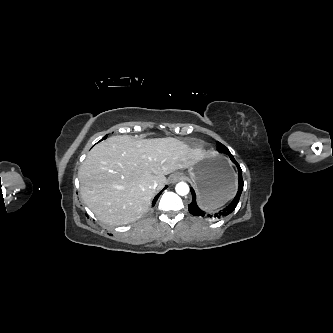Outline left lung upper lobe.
Listing matches in <instances>:
<instances>
[{"instance_id":"1","label":"left lung upper lobe","mask_w":333,"mask_h":333,"mask_svg":"<svg viewBox=\"0 0 333 333\" xmlns=\"http://www.w3.org/2000/svg\"><path fill=\"white\" fill-rule=\"evenodd\" d=\"M218 151L221 152V153L227 154L230 157V159H234V157L232 156V154L230 153V151L228 150V148L225 147L220 142H218Z\"/></svg>"}]
</instances>
